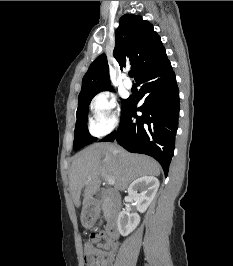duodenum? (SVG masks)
I'll list each match as a JSON object with an SVG mask.
<instances>
[{
	"instance_id": "410a0bca",
	"label": "duodenum",
	"mask_w": 233,
	"mask_h": 266,
	"mask_svg": "<svg viewBox=\"0 0 233 266\" xmlns=\"http://www.w3.org/2000/svg\"><path fill=\"white\" fill-rule=\"evenodd\" d=\"M91 201L93 203L104 201L107 211V223L105 232L109 238L113 240L117 239L120 235L118 226L120 202L118 201V199L114 195L104 190H98L91 195Z\"/></svg>"
}]
</instances>
